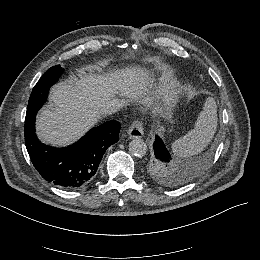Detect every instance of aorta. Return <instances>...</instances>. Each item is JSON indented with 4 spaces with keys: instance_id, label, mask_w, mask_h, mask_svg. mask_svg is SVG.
<instances>
[{
    "instance_id": "762f6f07",
    "label": "aorta",
    "mask_w": 260,
    "mask_h": 260,
    "mask_svg": "<svg viewBox=\"0 0 260 260\" xmlns=\"http://www.w3.org/2000/svg\"><path fill=\"white\" fill-rule=\"evenodd\" d=\"M129 151L132 155L142 157L147 152V145L142 139L136 138L129 143Z\"/></svg>"
}]
</instances>
